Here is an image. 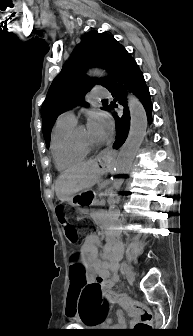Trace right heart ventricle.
<instances>
[{
    "label": "right heart ventricle",
    "mask_w": 193,
    "mask_h": 336,
    "mask_svg": "<svg viewBox=\"0 0 193 336\" xmlns=\"http://www.w3.org/2000/svg\"><path fill=\"white\" fill-rule=\"evenodd\" d=\"M75 124H56L51 139V150L56 167L65 170L78 165L88 155V151L77 145L72 137Z\"/></svg>",
    "instance_id": "right-heart-ventricle-1"
}]
</instances>
